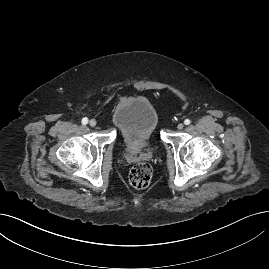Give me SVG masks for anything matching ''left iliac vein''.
Masks as SVG:
<instances>
[{"instance_id": "4c4485c4", "label": "left iliac vein", "mask_w": 269, "mask_h": 269, "mask_svg": "<svg viewBox=\"0 0 269 269\" xmlns=\"http://www.w3.org/2000/svg\"><path fill=\"white\" fill-rule=\"evenodd\" d=\"M177 128H178L179 130H182V129L184 128V125H183L182 123H179V124L177 125Z\"/></svg>"}]
</instances>
